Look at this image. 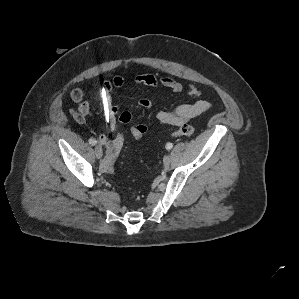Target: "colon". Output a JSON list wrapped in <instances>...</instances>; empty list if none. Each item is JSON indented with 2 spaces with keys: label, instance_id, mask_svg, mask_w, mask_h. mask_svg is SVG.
<instances>
[{
  "label": "colon",
  "instance_id": "5ec220e1",
  "mask_svg": "<svg viewBox=\"0 0 299 299\" xmlns=\"http://www.w3.org/2000/svg\"><path fill=\"white\" fill-rule=\"evenodd\" d=\"M72 115L76 120H78L80 122L84 121V119L86 118V114L79 109L74 110L72 112ZM194 132H195L194 127H192L189 124H182L179 128H177L176 130H174L172 132V136L173 137H188V136L193 135ZM129 133L134 139L139 140L145 135L146 131L143 127L134 125L130 128ZM125 141H126V133H124L123 131H119V132L115 133L109 139V141L106 145L105 157L101 162L102 171H104L108 174L113 173L114 165L123 150Z\"/></svg>",
  "mask_w": 299,
  "mask_h": 299
}]
</instances>
